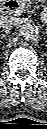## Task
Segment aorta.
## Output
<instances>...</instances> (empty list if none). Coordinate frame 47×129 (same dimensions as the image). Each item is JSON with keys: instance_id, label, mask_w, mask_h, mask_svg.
I'll list each match as a JSON object with an SVG mask.
<instances>
[{"instance_id": "obj_1", "label": "aorta", "mask_w": 47, "mask_h": 129, "mask_svg": "<svg viewBox=\"0 0 47 129\" xmlns=\"http://www.w3.org/2000/svg\"><path fill=\"white\" fill-rule=\"evenodd\" d=\"M39 33V27L32 22H26L20 28V34L26 41L37 40Z\"/></svg>"}]
</instances>
